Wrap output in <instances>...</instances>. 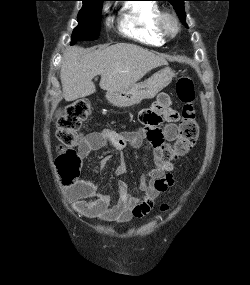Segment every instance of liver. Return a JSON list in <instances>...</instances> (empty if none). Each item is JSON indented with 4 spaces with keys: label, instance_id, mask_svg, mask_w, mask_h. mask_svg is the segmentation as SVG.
Listing matches in <instances>:
<instances>
[{
    "label": "liver",
    "instance_id": "obj_1",
    "mask_svg": "<svg viewBox=\"0 0 250 285\" xmlns=\"http://www.w3.org/2000/svg\"><path fill=\"white\" fill-rule=\"evenodd\" d=\"M165 56L140 46L117 43L104 49L68 48L61 65V83L66 101L86 97L96 91L93 78L101 75L100 87L117 91L135 84L152 69L166 65Z\"/></svg>",
    "mask_w": 250,
    "mask_h": 285
}]
</instances>
